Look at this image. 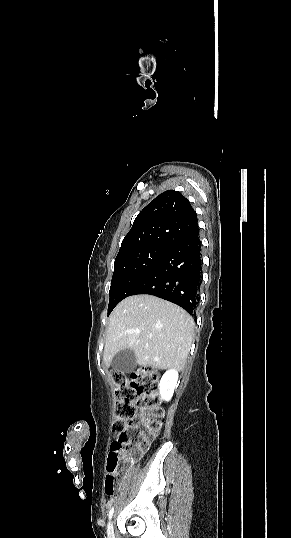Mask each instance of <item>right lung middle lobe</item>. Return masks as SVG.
I'll return each mask as SVG.
<instances>
[{
    "label": "right lung middle lobe",
    "instance_id": "1",
    "mask_svg": "<svg viewBox=\"0 0 291 538\" xmlns=\"http://www.w3.org/2000/svg\"><path fill=\"white\" fill-rule=\"evenodd\" d=\"M171 247L163 245L143 246L117 255L109 291L108 315L168 252Z\"/></svg>",
    "mask_w": 291,
    "mask_h": 538
}]
</instances>
